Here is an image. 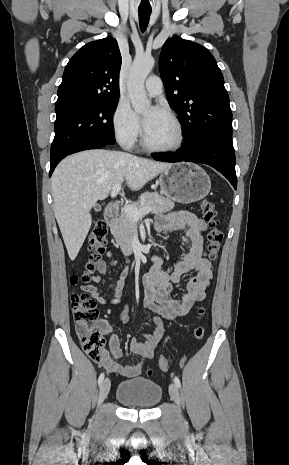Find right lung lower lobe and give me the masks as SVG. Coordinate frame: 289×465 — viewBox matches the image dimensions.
Instances as JSON below:
<instances>
[{
  "mask_svg": "<svg viewBox=\"0 0 289 465\" xmlns=\"http://www.w3.org/2000/svg\"><path fill=\"white\" fill-rule=\"evenodd\" d=\"M107 145H110L109 143L107 142H104V141H99V140H95V141H89V142H85L81 145H79L78 147H76L74 150H72L71 152L63 155L62 157L54 160L51 162V167H50V172H49V176L52 175L55 167L57 166V164L64 158L66 157L67 155H70V154H73V153H76V152H79V151H83V150H87V149H99V148H102L104 146H107Z\"/></svg>",
  "mask_w": 289,
  "mask_h": 465,
  "instance_id": "1",
  "label": "right lung lower lobe"
}]
</instances>
